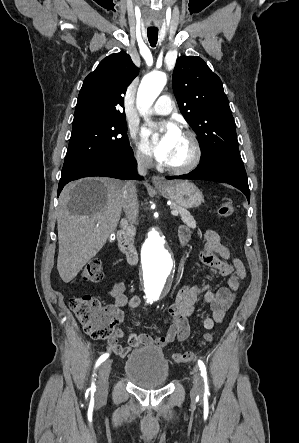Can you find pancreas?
I'll list each match as a JSON object with an SVG mask.
<instances>
[{
	"label": "pancreas",
	"mask_w": 299,
	"mask_h": 443,
	"mask_svg": "<svg viewBox=\"0 0 299 443\" xmlns=\"http://www.w3.org/2000/svg\"><path fill=\"white\" fill-rule=\"evenodd\" d=\"M170 208L172 210H176L179 212L181 216V220L183 223H185L190 228H196V221L193 216H191L190 212L186 210L185 208L177 205L176 203H172ZM127 235L129 240L133 241L134 235H135V229L133 227L129 228L127 230Z\"/></svg>",
	"instance_id": "cf45deb5"
}]
</instances>
